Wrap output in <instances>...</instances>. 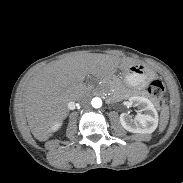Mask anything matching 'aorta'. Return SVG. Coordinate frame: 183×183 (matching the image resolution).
I'll list each match as a JSON object with an SVG mask.
<instances>
[{"label": "aorta", "instance_id": "aorta-1", "mask_svg": "<svg viewBox=\"0 0 183 183\" xmlns=\"http://www.w3.org/2000/svg\"><path fill=\"white\" fill-rule=\"evenodd\" d=\"M91 104L94 108H100L102 106V100L99 97L92 99Z\"/></svg>", "mask_w": 183, "mask_h": 183}]
</instances>
